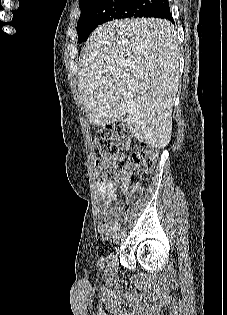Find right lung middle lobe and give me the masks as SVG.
<instances>
[{"instance_id":"right-lung-middle-lobe-1","label":"right lung middle lobe","mask_w":227,"mask_h":315,"mask_svg":"<svg viewBox=\"0 0 227 315\" xmlns=\"http://www.w3.org/2000/svg\"><path fill=\"white\" fill-rule=\"evenodd\" d=\"M159 0H81L78 43L85 42L100 24L122 18L143 17Z\"/></svg>"}]
</instances>
